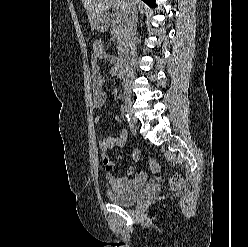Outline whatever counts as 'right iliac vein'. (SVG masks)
I'll use <instances>...</instances> for the list:
<instances>
[{
  "mask_svg": "<svg viewBox=\"0 0 248 247\" xmlns=\"http://www.w3.org/2000/svg\"><path fill=\"white\" fill-rule=\"evenodd\" d=\"M124 103L128 109V111L131 113V109H132V99L128 96L124 97ZM133 123L135 124L136 123V120L135 118L133 117Z\"/></svg>",
  "mask_w": 248,
  "mask_h": 247,
  "instance_id": "1",
  "label": "right iliac vein"
}]
</instances>
